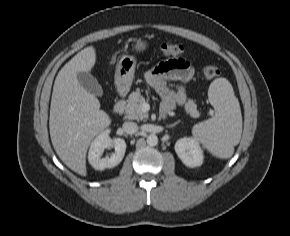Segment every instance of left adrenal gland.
Wrapping results in <instances>:
<instances>
[{"instance_id":"obj_1","label":"left adrenal gland","mask_w":290,"mask_h":236,"mask_svg":"<svg viewBox=\"0 0 290 236\" xmlns=\"http://www.w3.org/2000/svg\"><path fill=\"white\" fill-rule=\"evenodd\" d=\"M181 121L180 120H178V121H176L175 123H173V124H171V125H168L167 126V128H172V127H174V126H176L178 123H180Z\"/></svg>"}]
</instances>
